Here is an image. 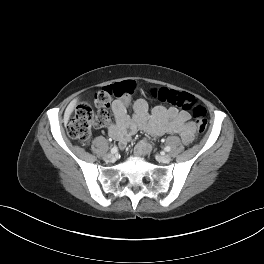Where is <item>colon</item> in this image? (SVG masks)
Listing matches in <instances>:
<instances>
[{
	"instance_id": "5ec220e1",
	"label": "colon",
	"mask_w": 264,
	"mask_h": 264,
	"mask_svg": "<svg viewBox=\"0 0 264 264\" xmlns=\"http://www.w3.org/2000/svg\"><path fill=\"white\" fill-rule=\"evenodd\" d=\"M134 89V83L127 80L99 91L94 99L96 112L89 103L79 104L67 125L69 136L82 144L89 143L93 129L109 123L111 119L109 106L112 98L127 99L134 93ZM153 96L173 107L191 111L198 131L201 133L206 129V110L191 94L161 87L153 89Z\"/></svg>"
}]
</instances>
